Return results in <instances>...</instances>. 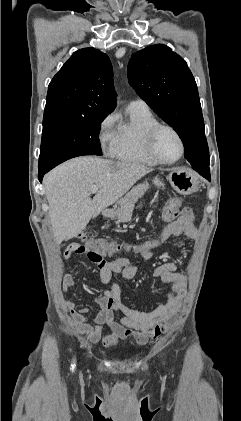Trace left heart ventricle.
I'll return each mask as SVG.
<instances>
[{"instance_id":"1","label":"left heart ventricle","mask_w":241,"mask_h":421,"mask_svg":"<svg viewBox=\"0 0 241 421\" xmlns=\"http://www.w3.org/2000/svg\"><path fill=\"white\" fill-rule=\"evenodd\" d=\"M158 155L166 161L177 158L180 153V144L176 136L169 130H161L155 141Z\"/></svg>"}]
</instances>
